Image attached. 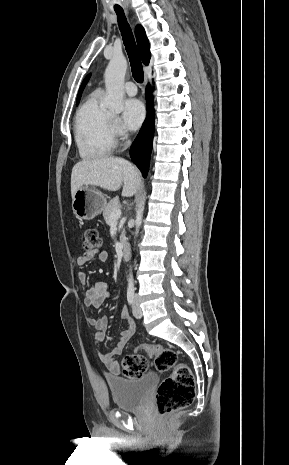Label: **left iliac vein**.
I'll use <instances>...</instances> for the list:
<instances>
[{
  "label": "left iliac vein",
  "mask_w": 289,
  "mask_h": 465,
  "mask_svg": "<svg viewBox=\"0 0 289 465\" xmlns=\"http://www.w3.org/2000/svg\"><path fill=\"white\" fill-rule=\"evenodd\" d=\"M133 315L135 318L139 319L142 317V310L139 306V300L138 297L135 296L134 298V303H133Z\"/></svg>",
  "instance_id": "obj_1"
}]
</instances>
